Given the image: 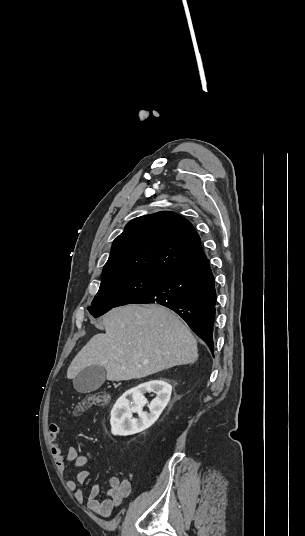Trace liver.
I'll use <instances>...</instances> for the list:
<instances>
[{
    "instance_id": "liver-1",
    "label": "liver",
    "mask_w": 305,
    "mask_h": 536,
    "mask_svg": "<svg viewBox=\"0 0 305 536\" xmlns=\"http://www.w3.org/2000/svg\"><path fill=\"white\" fill-rule=\"evenodd\" d=\"M106 334H96L72 360L68 380L88 366H103L106 380L121 382L194 364L197 342L175 312L157 304H129L103 316Z\"/></svg>"
}]
</instances>
